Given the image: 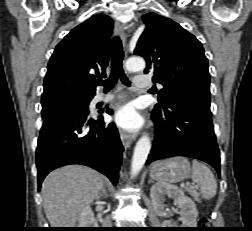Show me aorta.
Segmentation results:
<instances>
[{
	"instance_id": "obj_1",
	"label": "aorta",
	"mask_w": 252,
	"mask_h": 231,
	"mask_svg": "<svg viewBox=\"0 0 252 231\" xmlns=\"http://www.w3.org/2000/svg\"><path fill=\"white\" fill-rule=\"evenodd\" d=\"M145 60L141 57H133L126 61L125 67L130 72L143 71L145 69ZM151 149V142L148 134H143L136 143L132 163L131 173L136 175L144 166Z\"/></svg>"
}]
</instances>
